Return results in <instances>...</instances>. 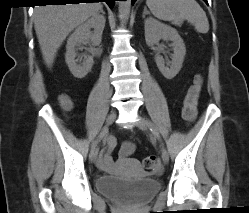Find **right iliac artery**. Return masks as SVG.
Instances as JSON below:
<instances>
[{"label": "right iliac artery", "mask_w": 249, "mask_h": 213, "mask_svg": "<svg viewBox=\"0 0 249 213\" xmlns=\"http://www.w3.org/2000/svg\"><path fill=\"white\" fill-rule=\"evenodd\" d=\"M108 133V128L105 126L101 133L99 134V136L97 137V139L93 142L92 146H91V150L94 149L97 144L101 141V139H103L105 137V135Z\"/></svg>", "instance_id": "1"}]
</instances>
